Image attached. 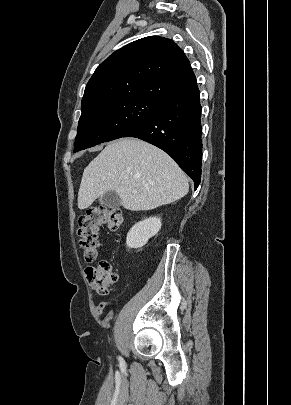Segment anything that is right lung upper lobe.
Returning <instances> with one entry per match:
<instances>
[{"instance_id": "obj_1", "label": "right lung upper lobe", "mask_w": 291, "mask_h": 405, "mask_svg": "<svg viewBox=\"0 0 291 405\" xmlns=\"http://www.w3.org/2000/svg\"><path fill=\"white\" fill-rule=\"evenodd\" d=\"M195 83L190 62L177 44L164 37H145L115 51L97 67L81 109L125 98L163 102Z\"/></svg>"}]
</instances>
